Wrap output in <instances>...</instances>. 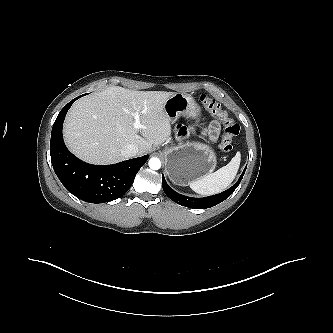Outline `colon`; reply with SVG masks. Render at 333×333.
<instances>
[{
	"label": "colon",
	"instance_id": "obj_1",
	"mask_svg": "<svg viewBox=\"0 0 333 333\" xmlns=\"http://www.w3.org/2000/svg\"><path fill=\"white\" fill-rule=\"evenodd\" d=\"M200 101L210 114L223 123V136L219 146L220 150L225 153L231 151L233 148V137L239 132L238 124L229 118L228 114L222 110L220 104L215 99L202 95Z\"/></svg>",
	"mask_w": 333,
	"mask_h": 333
}]
</instances>
